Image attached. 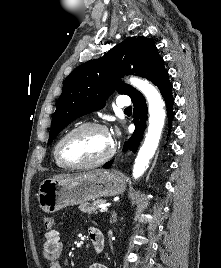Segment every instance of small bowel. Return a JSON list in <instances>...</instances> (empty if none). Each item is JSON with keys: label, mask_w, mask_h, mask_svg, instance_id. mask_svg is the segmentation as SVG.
Here are the masks:
<instances>
[{"label": "small bowel", "mask_w": 221, "mask_h": 268, "mask_svg": "<svg viewBox=\"0 0 221 268\" xmlns=\"http://www.w3.org/2000/svg\"><path fill=\"white\" fill-rule=\"evenodd\" d=\"M95 228L89 230V236L91 231ZM63 250V243L60 238V234L56 229L47 230L45 233V239L42 244V254L47 260L48 268H62L60 263V257ZM88 268H108L103 264L94 263Z\"/></svg>", "instance_id": "obj_1"}]
</instances>
